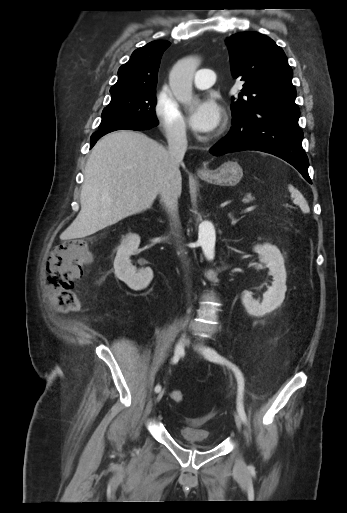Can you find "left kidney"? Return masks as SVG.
<instances>
[{"label": "left kidney", "instance_id": "left-kidney-1", "mask_svg": "<svg viewBox=\"0 0 347 513\" xmlns=\"http://www.w3.org/2000/svg\"><path fill=\"white\" fill-rule=\"evenodd\" d=\"M254 251L259 254L261 263L266 264L273 276L272 286L264 293L261 303L252 297V292L244 291L242 303L246 311L253 316H264L281 306L285 299L286 269L280 250L269 243L256 245Z\"/></svg>", "mask_w": 347, "mask_h": 513}]
</instances>
